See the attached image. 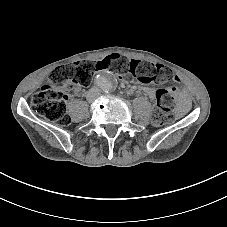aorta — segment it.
<instances>
[{
  "mask_svg": "<svg viewBox=\"0 0 227 227\" xmlns=\"http://www.w3.org/2000/svg\"><path fill=\"white\" fill-rule=\"evenodd\" d=\"M96 84L97 86L105 91H111L115 85H116V79L114 77V75L110 74V73H105V74H101L96 78Z\"/></svg>",
  "mask_w": 227,
  "mask_h": 227,
  "instance_id": "1",
  "label": "aorta"
}]
</instances>
